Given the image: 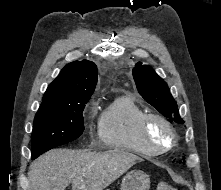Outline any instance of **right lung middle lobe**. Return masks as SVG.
Listing matches in <instances>:
<instances>
[{
	"label": "right lung middle lobe",
	"mask_w": 221,
	"mask_h": 190,
	"mask_svg": "<svg viewBox=\"0 0 221 190\" xmlns=\"http://www.w3.org/2000/svg\"><path fill=\"white\" fill-rule=\"evenodd\" d=\"M88 100L72 106L40 107L32 132V159L78 138L84 131L83 110Z\"/></svg>",
	"instance_id": "dd1d6c3e"
}]
</instances>
